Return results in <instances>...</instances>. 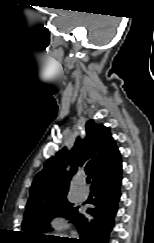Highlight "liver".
<instances>
[{
    "label": "liver",
    "instance_id": "1",
    "mask_svg": "<svg viewBox=\"0 0 154 243\" xmlns=\"http://www.w3.org/2000/svg\"><path fill=\"white\" fill-rule=\"evenodd\" d=\"M55 236H58V235H55ZM60 237H64L63 235H60Z\"/></svg>",
    "mask_w": 154,
    "mask_h": 243
}]
</instances>
